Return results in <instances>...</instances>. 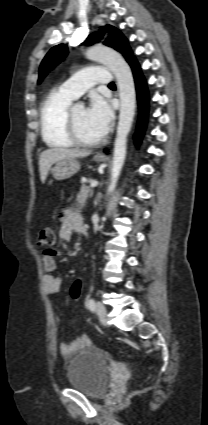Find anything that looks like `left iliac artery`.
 <instances>
[{
	"label": "left iliac artery",
	"mask_w": 208,
	"mask_h": 425,
	"mask_svg": "<svg viewBox=\"0 0 208 425\" xmlns=\"http://www.w3.org/2000/svg\"><path fill=\"white\" fill-rule=\"evenodd\" d=\"M87 305H88V308L91 311H94L95 310L96 304H95V300L94 299H89Z\"/></svg>",
	"instance_id": "obj_1"
}]
</instances>
